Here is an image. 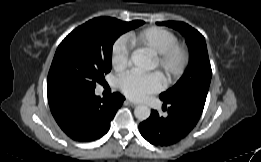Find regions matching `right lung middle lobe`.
<instances>
[{
	"label": "right lung middle lobe",
	"mask_w": 261,
	"mask_h": 162,
	"mask_svg": "<svg viewBox=\"0 0 261 162\" xmlns=\"http://www.w3.org/2000/svg\"><path fill=\"white\" fill-rule=\"evenodd\" d=\"M144 24L97 17L73 30L58 46L48 79V102L70 93L94 92L104 73L111 70L114 41L123 33Z\"/></svg>",
	"instance_id": "obj_1"
}]
</instances>
